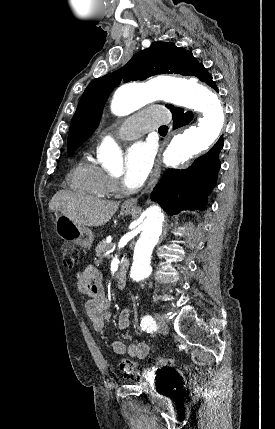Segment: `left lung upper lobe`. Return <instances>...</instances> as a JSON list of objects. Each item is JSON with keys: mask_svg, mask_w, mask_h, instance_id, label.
<instances>
[{"mask_svg": "<svg viewBox=\"0 0 275 429\" xmlns=\"http://www.w3.org/2000/svg\"><path fill=\"white\" fill-rule=\"evenodd\" d=\"M200 64L190 51L170 42H154L138 52L121 69L93 80L84 91L72 118L68 135V153L71 154L93 133L110 92L121 80H145L157 74L198 75ZM172 109L173 106L170 105Z\"/></svg>", "mask_w": 275, "mask_h": 429, "instance_id": "left-lung-upper-lobe-1", "label": "left lung upper lobe"}]
</instances>
